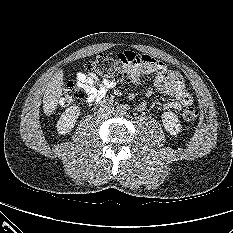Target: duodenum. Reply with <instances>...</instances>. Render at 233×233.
I'll use <instances>...</instances> for the list:
<instances>
[{
  "label": "duodenum",
  "mask_w": 233,
  "mask_h": 233,
  "mask_svg": "<svg viewBox=\"0 0 233 233\" xmlns=\"http://www.w3.org/2000/svg\"><path fill=\"white\" fill-rule=\"evenodd\" d=\"M111 102L109 100L105 101L104 104L105 105H109Z\"/></svg>",
  "instance_id": "1"
}]
</instances>
